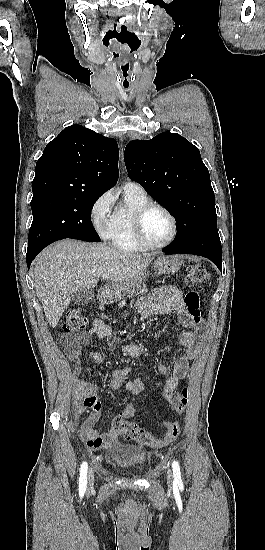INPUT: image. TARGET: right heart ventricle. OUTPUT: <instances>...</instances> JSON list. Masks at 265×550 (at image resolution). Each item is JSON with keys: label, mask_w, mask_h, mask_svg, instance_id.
Masks as SVG:
<instances>
[{"label": "right heart ventricle", "mask_w": 265, "mask_h": 550, "mask_svg": "<svg viewBox=\"0 0 265 550\" xmlns=\"http://www.w3.org/2000/svg\"><path fill=\"white\" fill-rule=\"evenodd\" d=\"M123 202L115 208L106 235L108 242L122 252H137L142 249L135 239L133 219L137 209L150 202L146 193L124 189Z\"/></svg>", "instance_id": "obj_1"}]
</instances>
